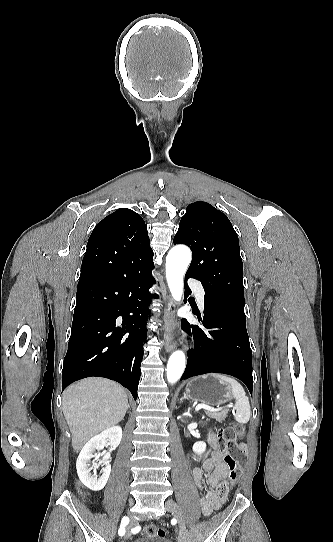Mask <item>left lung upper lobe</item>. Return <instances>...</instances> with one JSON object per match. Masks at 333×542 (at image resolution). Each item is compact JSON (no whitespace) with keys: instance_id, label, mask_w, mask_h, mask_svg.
Listing matches in <instances>:
<instances>
[{"instance_id":"obj_1","label":"left lung upper lobe","mask_w":333,"mask_h":542,"mask_svg":"<svg viewBox=\"0 0 333 542\" xmlns=\"http://www.w3.org/2000/svg\"><path fill=\"white\" fill-rule=\"evenodd\" d=\"M173 242L190 247L192 261L185 276L202 282L206 300L226 297L244 303L239 240L225 214L207 202L189 204Z\"/></svg>"}]
</instances>
